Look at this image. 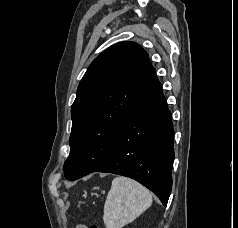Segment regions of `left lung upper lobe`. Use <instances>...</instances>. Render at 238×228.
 I'll use <instances>...</instances> for the list:
<instances>
[{
    "label": "left lung upper lobe",
    "mask_w": 238,
    "mask_h": 228,
    "mask_svg": "<svg viewBox=\"0 0 238 228\" xmlns=\"http://www.w3.org/2000/svg\"><path fill=\"white\" fill-rule=\"evenodd\" d=\"M153 70L146 51L130 41L109 47L90 64L71 108L66 178L91 171L109 156Z\"/></svg>",
    "instance_id": "1"
}]
</instances>
